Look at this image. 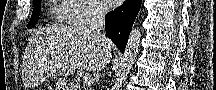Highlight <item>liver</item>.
Wrapping results in <instances>:
<instances>
[{
  "label": "liver",
  "mask_w": 216,
  "mask_h": 90,
  "mask_svg": "<svg viewBox=\"0 0 216 90\" xmlns=\"http://www.w3.org/2000/svg\"><path fill=\"white\" fill-rule=\"evenodd\" d=\"M36 44V52L30 44L29 54H38L39 64L46 74L70 76L76 70L96 72L105 66L99 36L88 32L81 22H72L63 28H46Z\"/></svg>",
  "instance_id": "liver-1"
}]
</instances>
